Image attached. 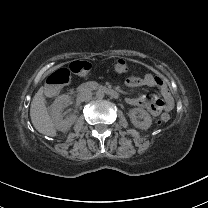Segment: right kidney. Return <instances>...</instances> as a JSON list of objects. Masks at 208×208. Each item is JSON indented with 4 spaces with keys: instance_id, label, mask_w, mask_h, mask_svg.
<instances>
[{
    "instance_id": "ca27d5eb",
    "label": "right kidney",
    "mask_w": 208,
    "mask_h": 208,
    "mask_svg": "<svg viewBox=\"0 0 208 208\" xmlns=\"http://www.w3.org/2000/svg\"><path fill=\"white\" fill-rule=\"evenodd\" d=\"M71 98L63 94L58 96L50 107V113L55 128L59 131L66 132L76 122L77 116L71 115L63 119L62 110L69 105Z\"/></svg>"
}]
</instances>
